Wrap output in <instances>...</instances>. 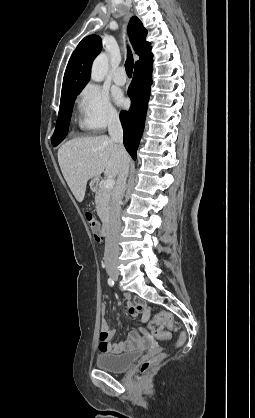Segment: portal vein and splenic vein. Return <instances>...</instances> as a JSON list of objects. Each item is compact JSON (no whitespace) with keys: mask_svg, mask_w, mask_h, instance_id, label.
Returning <instances> with one entry per match:
<instances>
[{"mask_svg":"<svg viewBox=\"0 0 255 418\" xmlns=\"http://www.w3.org/2000/svg\"><path fill=\"white\" fill-rule=\"evenodd\" d=\"M114 184H115V181L113 178H107L106 180L103 181V186L106 189L113 188Z\"/></svg>","mask_w":255,"mask_h":418,"instance_id":"obj_1","label":"portal vein and splenic vein"}]
</instances>
